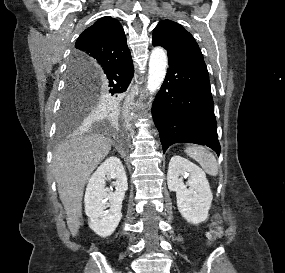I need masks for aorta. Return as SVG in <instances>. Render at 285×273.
<instances>
[{
	"label": "aorta",
	"instance_id": "1",
	"mask_svg": "<svg viewBox=\"0 0 285 273\" xmlns=\"http://www.w3.org/2000/svg\"><path fill=\"white\" fill-rule=\"evenodd\" d=\"M167 69V55L163 48H153L149 59V75L146 89L154 93L162 85Z\"/></svg>",
	"mask_w": 285,
	"mask_h": 273
}]
</instances>
